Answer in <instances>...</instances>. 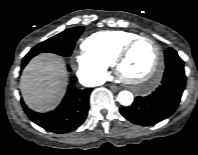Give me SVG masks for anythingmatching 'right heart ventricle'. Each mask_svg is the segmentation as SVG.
I'll list each match as a JSON object with an SVG mask.
<instances>
[{"label":"right heart ventricle","mask_w":198,"mask_h":155,"mask_svg":"<svg viewBox=\"0 0 198 155\" xmlns=\"http://www.w3.org/2000/svg\"><path fill=\"white\" fill-rule=\"evenodd\" d=\"M139 34L132 31H101L87 37L82 43L83 49L90 55L100 59L106 65H112L115 55L121 47Z\"/></svg>","instance_id":"right-heart-ventricle-1"}]
</instances>
